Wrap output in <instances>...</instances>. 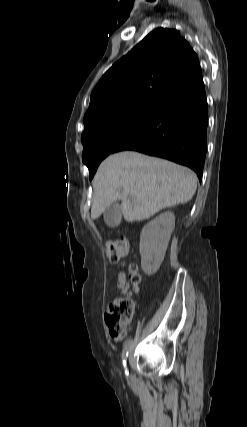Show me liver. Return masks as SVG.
Listing matches in <instances>:
<instances>
[{
  "label": "liver",
  "mask_w": 247,
  "mask_h": 427,
  "mask_svg": "<svg viewBox=\"0 0 247 427\" xmlns=\"http://www.w3.org/2000/svg\"><path fill=\"white\" fill-rule=\"evenodd\" d=\"M91 218L121 200L127 222L142 221L164 208L189 202L197 176L187 167L134 151L108 156L93 179Z\"/></svg>",
  "instance_id": "6515ba94"
}]
</instances>
